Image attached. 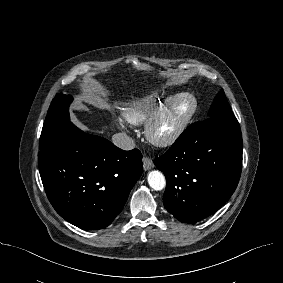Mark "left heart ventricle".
I'll use <instances>...</instances> for the list:
<instances>
[{
    "instance_id": "obj_1",
    "label": "left heart ventricle",
    "mask_w": 283,
    "mask_h": 283,
    "mask_svg": "<svg viewBox=\"0 0 283 283\" xmlns=\"http://www.w3.org/2000/svg\"><path fill=\"white\" fill-rule=\"evenodd\" d=\"M185 109V104H180L176 106L159 125L158 134L164 135L169 132L174 126V124L177 122V120L182 116Z\"/></svg>"
}]
</instances>
